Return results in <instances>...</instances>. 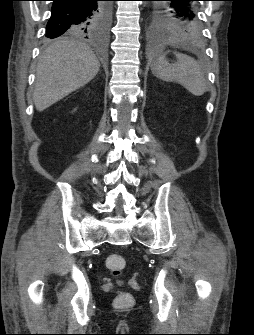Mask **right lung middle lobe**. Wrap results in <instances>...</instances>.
<instances>
[{
  "label": "right lung middle lobe",
  "instance_id": "1",
  "mask_svg": "<svg viewBox=\"0 0 254 335\" xmlns=\"http://www.w3.org/2000/svg\"><path fill=\"white\" fill-rule=\"evenodd\" d=\"M110 15H111V4L109 2H103L101 5V11L99 18L96 20V22L90 27V33L89 34H95V33H101L105 32L107 30L109 21H110ZM70 34H85L82 31H77L75 33Z\"/></svg>",
  "mask_w": 254,
  "mask_h": 335
}]
</instances>
